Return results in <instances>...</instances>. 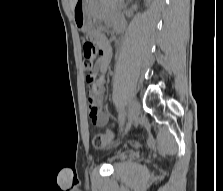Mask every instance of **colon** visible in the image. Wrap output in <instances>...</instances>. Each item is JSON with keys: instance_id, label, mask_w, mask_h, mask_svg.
<instances>
[{"instance_id": "5ec220e1", "label": "colon", "mask_w": 223, "mask_h": 191, "mask_svg": "<svg viewBox=\"0 0 223 191\" xmlns=\"http://www.w3.org/2000/svg\"><path fill=\"white\" fill-rule=\"evenodd\" d=\"M83 68L86 73V80L90 88L96 87L95 64L98 58V51L94 43L87 40L83 46ZM112 141V134L109 131L97 133L93 137V146L98 149L105 148Z\"/></svg>"}]
</instances>
